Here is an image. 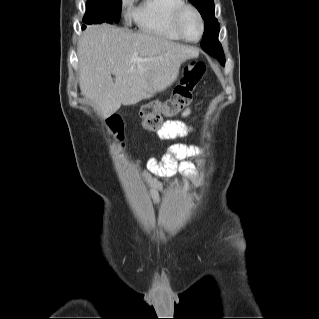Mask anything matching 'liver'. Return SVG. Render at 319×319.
I'll list each match as a JSON object with an SVG mask.
<instances>
[{"label":"liver","instance_id":"6515ba94","mask_svg":"<svg viewBox=\"0 0 319 319\" xmlns=\"http://www.w3.org/2000/svg\"><path fill=\"white\" fill-rule=\"evenodd\" d=\"M77 54L81 93L107 118L122 104L134 105L165 90L176 81L181 64L199 52L163 37L101 24L87 27Z\"/></svg>","mask_w":319,"mask_h":319}]
</instances>
